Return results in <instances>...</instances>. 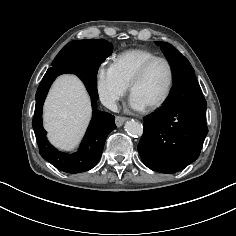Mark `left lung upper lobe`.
Segmentation results:
<instances>
[{
  "instance_id": "1",
  "label": "left lung upper lobe",
  "mask_w": 236,
  "mask_h": 236,
  "mask_svg": "<svg viewBox=\"0 0 236 236\" xmlns=\"http://www.w3.org/2000/svg\"><path fill=\"white\" fill-rule=\"evenodd\" d=\"M156 43L161 46L173 69L174 82L187 75L194 74V69L190 62L174 46L166 42L157 41Z\"/></svg>"
}]
</instances>
